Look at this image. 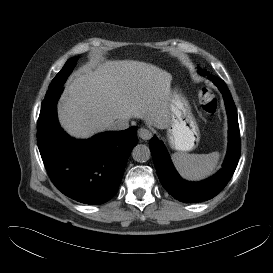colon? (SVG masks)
I'll return each instance as SVG.
<instances>
[{
	"instance_id": "obj_1",
	"label": "colon",
	"mask_w": 273,
	"mask_h": 273,
	"mask_svg": "<svg viewBox=\"0 0 273 273\" xmlns=\"http://www.w3.org/2000/svg\"><path fill=\"white\" fill-rule=\"evenodd\" d=\"M199 99L201 108L205 113L211 116H215L218 113V99L211 90L207 88H202L199 92Z\"/></svg>"
}]
</instances>
